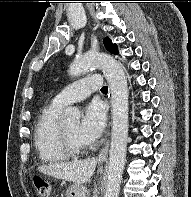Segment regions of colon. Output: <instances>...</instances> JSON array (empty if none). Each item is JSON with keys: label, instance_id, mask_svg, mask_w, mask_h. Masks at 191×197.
I'll list each match as a JSON object with an SVG mask.
<instances>
[{"label": "colon", "instance_id": "colon-1", "mask_svg": "<svg viewBox=\"0 0 191 197\" xmlns=\"http://www.w3.org/2000/svg\"><path fill=\"white\" fill-rule=\"evenodd\" d=\"M33 182L36 188V192L39 197H50L51 196V187L47 181H45L40 176H35Z\"/></svg>", "mask_w": 191, "mask_h": 197}]
</instances>
